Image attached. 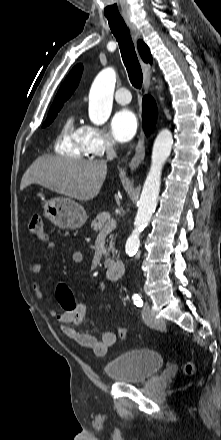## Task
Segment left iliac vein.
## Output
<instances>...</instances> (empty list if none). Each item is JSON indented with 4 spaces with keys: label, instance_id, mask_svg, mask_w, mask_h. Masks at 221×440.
<instances>
[{
    "label": "left iliac vein",
    "instance_id": "1",
    "mask_svg": "<svg viewBox=\"0 0 221 440\" xmlns=\"http://www.w3.org/2000/svg\"><path fill=\"white\" fill-rule=\"evenodd\" d=\"M142 318L144 322L152 328H162L164 326L163 319H155L152 310L148 304H145L142 308Z\"/></svg>",
    "mask_w": 221,
    "mask_h": 440
}]
</instances>
